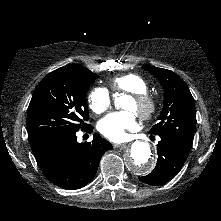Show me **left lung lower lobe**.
Returning <instances> with one entry per match:
<instances>
[{
  "mask_svg": "<svg viewBox=\"0 0 221 221\" xmlns=\"http://www.w3.org/2000/svg\"><path fill=\"white\" fill-rule=\"evenodd\" d=\"M157 145L158 160L154 170L139 179L149 185H160L173 178L183 167L189 153L174 141L161 137Z\"/></svg>",
  "mask_w": 221,
  "mask_h": 221,
  "instance_id": "left-lung-lower-lobe-1",
  "label": "left lung lower lobe"
}]
</instances>
